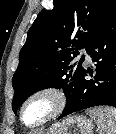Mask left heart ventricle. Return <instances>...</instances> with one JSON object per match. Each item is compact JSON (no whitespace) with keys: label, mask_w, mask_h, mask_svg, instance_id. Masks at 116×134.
<instances>
[{"label":"left heart ventricle","mask_w":116,"mask_h":134,"mask_svg":"<svg viewBox=\"0 0 116 134\" xmlns=\"http://www.w3.org/2000/svg\"><path fill=\"white\" fill-rule=\"evenodd\" d=\"M51 109V102L46 98H39L31 102L24 113V119L28 124H34L43 118Z\"/></svg>","instance_id":"1"}]
</instances>
